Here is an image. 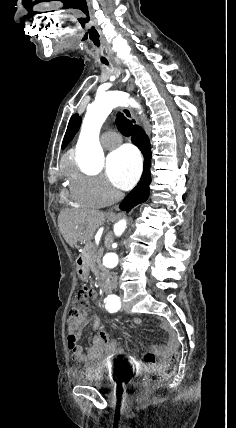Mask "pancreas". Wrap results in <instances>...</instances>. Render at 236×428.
<instances>
[{
  "label": "pancreas",
  "mask_w": 236,
  "mask_h": 428,
  "mask_svg": "<svg viewBox=\"0 0 236 428\" xmlns=\"http://www.w3.org/2000/svg\"><path fill=\"white\" fill-rule=\"evenodd\" d=\"M95 252L96 250L94 244H86L84 252H82V256L88 266H95V262L99 264V258H101V254H99V256H96Z\"/></svg>",
  "instance_id": "cf45deb5"
}]
</instances>
